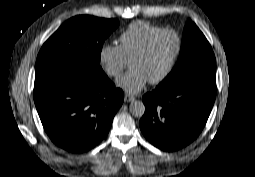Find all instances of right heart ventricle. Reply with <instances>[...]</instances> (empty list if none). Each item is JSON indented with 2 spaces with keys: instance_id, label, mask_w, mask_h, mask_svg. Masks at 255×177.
Wrapping results in <instances>:
<instances>
[{
  "instance_id": "obj_1",
  "label": "right heart ventricle",
  "mask_w": 255,
  "mask_h": 177,
  "mask_svg": "<svg viewBox=\"0 0 255 177\" xmlns=\"http://www.w3.org/2000/svg\"><path fill=\"white\" fill-rule=\"evenodd\" d=\"M161 29L163 28L145 21L132 22L119 37L125 59L131 61L148 38Z\"/></svg>"
}]
</instances>
